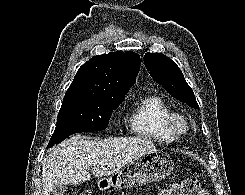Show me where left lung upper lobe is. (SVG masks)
Masks as SVG:
<instances>
[{"instance_id": "left-lung-upper-lobe-1", "label": "left lung upper lobe", "mask_w": 245, "mask_h": 195, "mask_svg": "<svg viewBox=\"0 0 245 195\" xmlns=\"http://www.w3.org/2000/svg\"><path fill=\"white\" fill-rule=\"evenodd\" d=\"M144 64L151 77L176 99L192 108H199L192 89L184 79L179 67L160 53H146Z\"/></svg>"}]
</instances>
